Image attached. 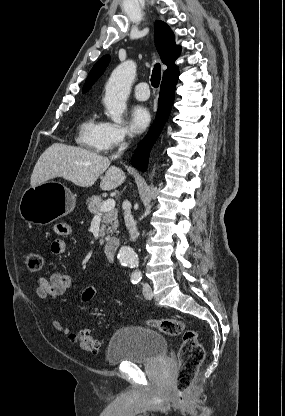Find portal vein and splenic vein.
I'll list each match as a JSON object with an SVG mask.
<instances>
[{"label": "portal vein and splenic vein", "mask_w": 285, "mask_h": 416, "mask_svg": "<svg viewBox=\"0 0 285 416\" xmlns=\"http://www.w3.org/2000/svg\"><path fill=\"white\" fill-rule=\"evenodd\" d=\"M115 208V200H106V202H103L101 206V212H110V210H113Z\"/></svg>", "instance_id": "portal-vein-and-splenic-vein-1"}]
</instances>
